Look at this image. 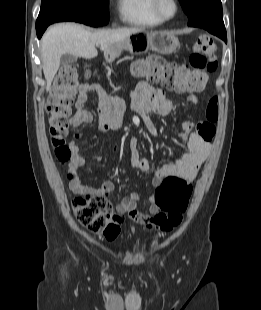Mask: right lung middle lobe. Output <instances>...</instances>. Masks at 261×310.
<instances>
[{"label": "right lung middle lobe", "instance_id": "1", "mask_svg": "<svg viewBox=\"0 0 261 310\" xmlns=\"http://www.w3.org/2000/svg\"><path fill=\"white\" fill-rule=\"evenodd\" d=\"M59 21L103 26L109 21L108 0H42L36 28Z\"/></svg>", "mask_w": 261, "mask_h": 310}]
</instances>
